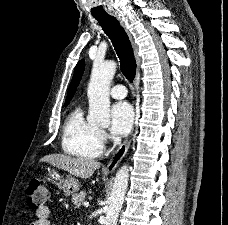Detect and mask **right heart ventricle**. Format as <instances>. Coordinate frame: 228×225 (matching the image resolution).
Segmentation results:
<instances>
[{"label":"right heart ventricle","mask_w":228,"mask_h":225,"mask_svg":"<svg viewBox=\"0 0 228 225\" xmlns=\"http://www.w3.org/2000/svg\"><path fill=\"white\" fill-rule=\"evenodd\" d=\"M61 147L65 154L79 158H97L102 153L98 127L84 118L81 106L74 107L65 119Z\"/></svg>","instance_id":"1"}]
</instances>
